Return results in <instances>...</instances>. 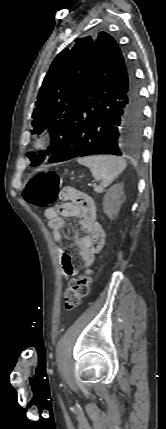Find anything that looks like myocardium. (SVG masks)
<instances>
[{"instance_id": "myocardium-1", "label": "myocardium", "mask_w": 166, "mask_h": 429, "mask_svg": "<svg viewBox=\"0 0 166 429\" xmlns=\"http://www.w3.org/2000/svg\"><path fill=\"white\" fill-rule=\"evenodd\" d=\"M51 137L48 133L41 132L34 136L31 148L35 152H40L44 150L50 143Z\"/></svg>"}]
</instances>
